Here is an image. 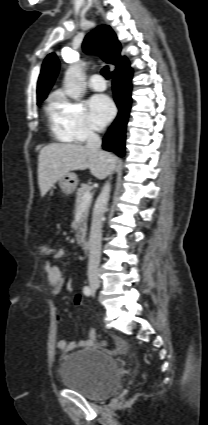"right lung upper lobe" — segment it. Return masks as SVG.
Returning a JSON list of instances; mask_svg holds the SVG:
<instances>
[{"label": "right lung upper lobe", "instance_id": "1", "mask_svg": "<svg viewBox=\"0 0 208 425\" xmlns=\"http://www.w3.org/2000/svg\"><path fill=\"white\" fill-rule=\"evenodd\" d=\"M83 49L88 53L99 54L105 62L115 65L116 70H121L129 65L127 58L120 55L121 45L116 34L108 25L99 26L90 32L83 42ZM58 71L59 61L55 53H51L45 58L42 65L37 84V102L43 101L47 97Z\"/></svg>", "mask_w": 208, "mask_h": 425}]
</instances>
